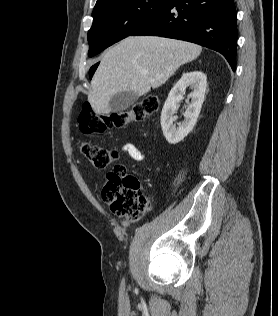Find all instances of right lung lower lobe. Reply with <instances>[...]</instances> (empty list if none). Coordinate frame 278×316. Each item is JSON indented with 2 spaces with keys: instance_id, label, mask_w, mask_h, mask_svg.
<instances>
[{
  "instance_id": "98d812e1",
  "label": "right lung lower lobe",
  "mask_w": 278,
  "mask_h": 316,
  "mask_svg": "<svg viewBox=\"0 0 278 316\" xmlns=\"http://www.w3.org/2000/svg\"><path fill=\"white\" fill-rule=\"evenodd\" d=\"M233 0H165L132 35L193 42L221 53L236 68L237 24Z\"/></svg>"
}]
</instances>
